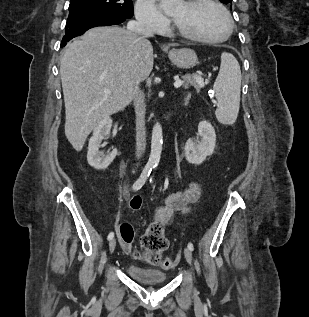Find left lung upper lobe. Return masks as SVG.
I'll return each mask as SVG.
<instances>
[{"label":"left lung upper lobe","instance_id":"5c2ea615","mask_svg":"<svg viewBox=\"0 0 309 317\" xmlns=\"http://www.w3.org/2000/svg\"><path fill=\"white\" fill-rule=\"evenodd\" d=\"M220 1L223 2L224 4H228L232 2V0H220Z\"/></svg>","mask_w":309,"mask_h":317}]
</instances>
